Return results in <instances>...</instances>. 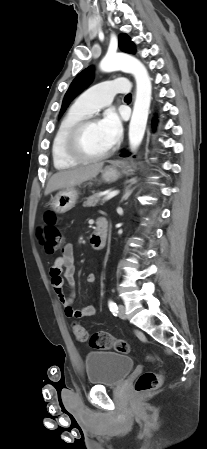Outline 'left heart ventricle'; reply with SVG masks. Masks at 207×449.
Here are the masks:
<instances>
[{"label":"left heart ventricle","mask_w":207,"mask_h":449,"mask_svg":"<svg viewBox=\"0 0 207 449\" xmlns=\"http://www.w3.org/2000/svg\"><path fill=\"white\" fill-rule=\"evenodd\" d=\"M81 145L89 154H99L111 147L98 122L84 130L81 137Z\"/></svg>","instance_id":"obj_1"}]
</instances>
